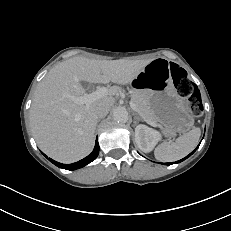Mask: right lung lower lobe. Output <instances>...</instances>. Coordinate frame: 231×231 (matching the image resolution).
<instances>
[{
  "label": "right lung lower lobe",
  "mask_w": 231,
  "mask_h": 231,
  "mask_svg": "<svg viewBox=\"0 0 231 231\" xmlns=\"http://www.w3.org/2000/svg\"><path fill=\"white\" fill-rule=\"evenodd\" d=\"M43 154V153H42ZM99 154V144L98 141L96 139L95 142V147L94 150L92 151V153L90 155H88L87 157H85L84 159L76 162V163H72V164H62L59 162H56L52 159L49 158V160L56 166L63 168V169H67V170H76L79 169L81 167H84L85 165L89 164L90 162L94 161L96 159V157ZM46 158L47 156L45 154H43Z\"/></svg>",
  "instance_id": "1"
}]
</instances>
